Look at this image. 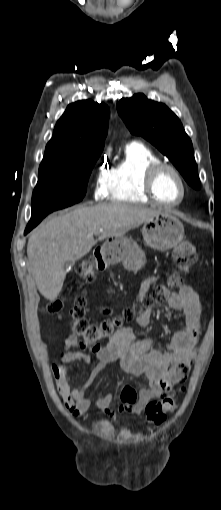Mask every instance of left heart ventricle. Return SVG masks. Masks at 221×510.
Here are the masks:
<instances>
[{
	"label": "left heart ventricle",
	"mask_w": 221,
	"mask_h": 510,
	"mask_svg": "<svg viewBox=\"0 0 221 510\" xmlns=\"http://www.w3.org/2000/svg\"><path fill=\"white\" fill-rule=\"evenodd\" d=\"M158 198L167 203H174L181 198L182 189L176 176L169 170H163L155 181Z\"/></svg>",
	"instance_id": "b2bd125f"
}]
</instances>
